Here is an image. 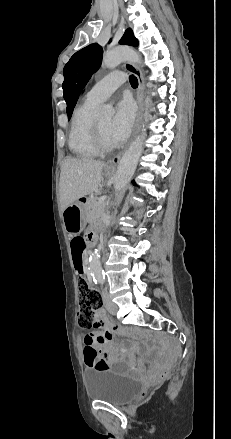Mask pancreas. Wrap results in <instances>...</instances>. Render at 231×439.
<instances>
[{
	"mask_svg": "<svg viewBox=\"0 0 231 439\" xmlns=\"http://www.w3.org/2000/svg\"><path fill=\"white\" fill-rule=\"evenodd\" d=\"M99 198L91 197L83 206L82 211L87 221H93L100 216L104 209V203L99 204Z\"/></svg>",
	"mask_w": 231,
	"mask_h": 439,
	"instance_id": "1",
	"label": "pancreas"
}]
</instances>
